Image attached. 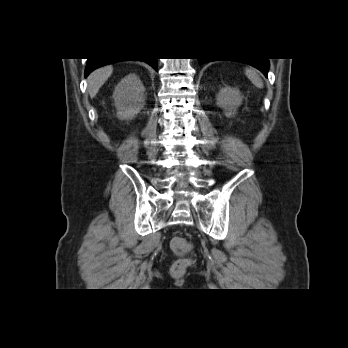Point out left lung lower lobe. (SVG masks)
Returning a JSON list of instances; mask_svg holds the SVG:
<instances>
[{"label": "left lung lower lobe", "mask_w": 348, "mask_h": 348, "mask_svg": "<svg viewBox=\"0 0 348 348\" xmlns=\"http://www.w3.org/2000/svg\"><path fill=\"white\" fill-rule=\"evenodd\" d=\"M199 64H203L205 62L213 61L214 59H206V58H199ZM228 60H235L243 63H247L249 65H252L259 69L266 77L269 69V60L268 59H228Z\"/></svg>", "instance_id": "0a47b994"}]
</instances>
